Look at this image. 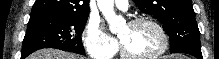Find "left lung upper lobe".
Returning <instances> with one entry per match:
<instances>
[{"mask_svg": "<svg viewBox=\"0 0 219 59\" xmlns=\"http://www.w3.org/2000/svg\"><path fill=\"white\" fill-rule=\"evenodd\" d=\"M137 7L163 23L170 52L185 46L200 47V32L191 0H134Z\"/></svg>", "mask_w": 219, "mask_h": 59, "instance_id": "5c2ea615", "label": "left lung upper lobe"}]
</instances>
